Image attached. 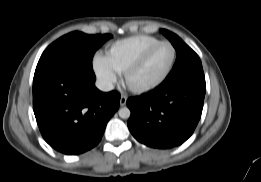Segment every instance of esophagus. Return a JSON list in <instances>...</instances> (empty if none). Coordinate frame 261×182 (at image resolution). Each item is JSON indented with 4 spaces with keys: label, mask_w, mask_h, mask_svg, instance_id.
<instances>
[{
    "label": "esophagus",
    "mask_w": 261,
    "mask_h": 182,
    "mask_svg": "<svg viewBox=\"0 0 261 182\" xmlns=\"http://www.w3.org/2000/svg\"><path fill=\"white\" fill-rule=\"evenodd\" d=\"M127 97L125 95H121L120 97V106H124L126 104Z\"/></svg>",
    "instance_id": "esophagus-1"
}]
</instances>
